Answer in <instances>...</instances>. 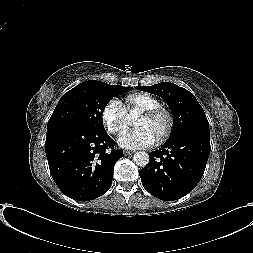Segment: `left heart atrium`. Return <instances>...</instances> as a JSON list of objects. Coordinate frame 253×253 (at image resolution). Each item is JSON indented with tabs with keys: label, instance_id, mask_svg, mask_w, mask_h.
<instances>
[{
	"label": "left heart atrium",
	"instance_id": "left-heart-atrium-1",
	"mask_svg": "<svg viewBox=\"0 0 253 253\" xmlns=\"http://www.w3.org/2000/svg\"><path fill=\"white\" fill-rule=\"evenodd\" d=\"M158 141L156 135L147 128H138L121 135L118 144L126 149L136 150L154 146Z\"/></svg>",
	"mask_w": 253,
	"mask_h": 253
}]
</instances>
